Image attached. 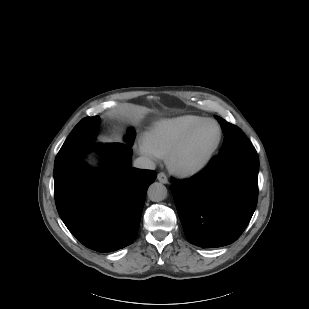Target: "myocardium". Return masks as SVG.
I'll list each match as a JSON object with an SVG mask.
<instances>
[{
  "instance_id": "1",
  "label": "myocardium",
  "mask_w": 309,
  "mask_h": 309,
  "mask_svg": "<svg viewBox=\"0 0 309 309\" xmlns=\"http://www.w3.org/2000/svg\"><path fill=\"white\" fill-rule=\"evenodd\" d=\"M206 124H214L217 127L218 135L214 144L210 147L206 155L196 162L195 164H186L181 159V154L193 138V136ZM223 137V132L220 124L213 119H204L194 127H192L182 139L175 145L170 155L168 156V163L170 168L178 175L181 176H193L202 172L211 162L217 149L219 148Z\"/></svg>"
}]
</instances>
